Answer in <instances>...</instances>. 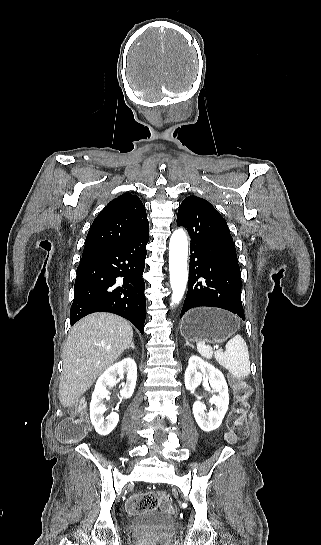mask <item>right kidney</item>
I'll list each match as a JSON object with an SVG mask.
<instances>
[{
    "instance_id": "obj_1",
    "label": "right kidney",
    "mask_w": 321,
    "mask_h": 545,
    "mask_svg": "<svg viewBox=\"0 0 321 545\" xmlns=\"http://www.w3.org/2000/svg\"><path fill=\"white\" fill-rule=\"evenodd\" d=\"M123 375L126 377V385L120 391L122 399H130L134 393L136 381H137V367L134 359H123L120 363H115L112 367H109L101 377H99L94 393L92 395L90 403V419L94 429L98 435H109L113 429H115L118 421V413H110L106 419H104V413L107 411L105 405H103V399L108 397L107 387H115L119 383L120 377L122 379Z\"/></svg>"
}]
</instances>
